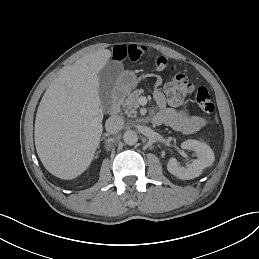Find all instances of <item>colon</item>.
Wrapping results in <instances>:
<instances>
[{
    "instance_id": "colon-1",
    "label": "colon",
    "mask_w": 259,
    "mask_h": 259,
    "mask_svg": "<svg viewBox=\"0 0 259 259\" xmlns=\"http://www.w3.org/2000/svg\"><path fill=\"white\" fill-rule=\"evenodd\" d=\"M167 67L168 62L164 57L156 60L155 68L157 70H164ZM165 89L173 104H179L185 96L193 93L196 103L204 112L210 114L214 111L213 98L207 87L203 84L194 86L183 72L176 71L174 77L165 84Z\"/></svg>"
}]
</instances>
